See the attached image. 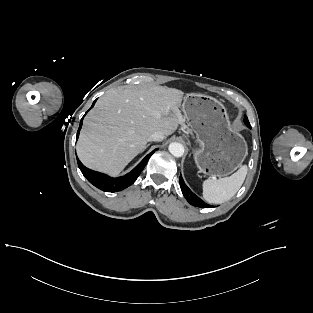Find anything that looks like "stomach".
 Segmentation results:
<instances>
[{
    "label": "stomach",
    "mask_w": 313,
    "mask_h": 313,
    "mask_svg": "<svg viewBox=\"0 0 313 313\" xmlns=\"http://www.w3.org/2000/svg\"><path fill=\"white\" fill-rule=\"evenodd\" d=\"M182 111L189 132L195 134V163L209 176H227L239 168L248 154L247 143L236 132L224 105L217 99L199 94L184 97Z\"/></svg>",
    "instance_id": "stomach-1"
}]
</instances>
